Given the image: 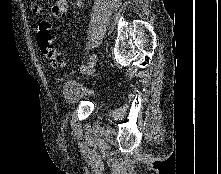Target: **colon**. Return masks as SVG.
<instances>
[{
	"label": "colon",
	"instance_id": "1",
	"mask_svg": "<svg viewBox=\"0 0 221 174\" xmlns=\"http://www.w3.org/2000/svg\"><path fill=\"white\" fill-rule=\"evenodd\" d=\"M36 39L38 47L45 59L52 65H60L61 63L58 59L59 53L54 45L53 32L51 26L46 21H41L39 23Z\"/></svg>",
	"mask_w": 221,
	"mask_h": 174
}]
</instances>
